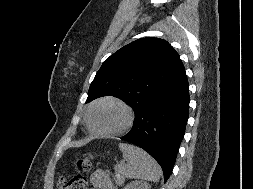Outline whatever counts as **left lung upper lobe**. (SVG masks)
<instances>
[{
  "instance_id": "obj_1",
  "label": "left lung upper lobe",
  "mask_w": 253,
  "mask_h": 189,
  "mask_svg": "<svg viewBox=\"0 0 253 189\" xmlns=\"http://www.w3.org/2000/svg\"><path fill=\"white\" fill-rule=\"evenodd\" d=\"M183 70L178 53L167 41L138 39L104 61L90 85L86 103L112 95L124 100L136 114Z\"/></svg>"
}]
</instances>
